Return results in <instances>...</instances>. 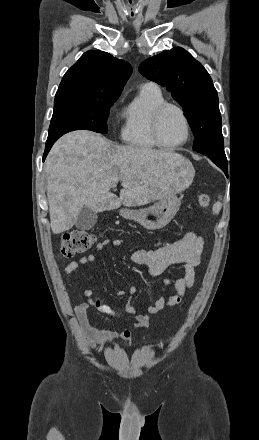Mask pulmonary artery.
<instances>
[{
  "label": "pulmonary artery",
  "mask_w": 259,
  "mask_h": 440,
  "mask_svg": "<svg viewBox=\"0 0 259 440\" xmlns=\"http://www.w3.org/2000/svg\"><path fill=\"white\" fill-rule=\"evenodd\" d=\"M142 89L158 91L159 87L153 82H148L142 85Z\"/></svg>",
  "instance_id": "e3ab8cb5"
}]
</instances>
